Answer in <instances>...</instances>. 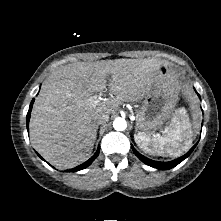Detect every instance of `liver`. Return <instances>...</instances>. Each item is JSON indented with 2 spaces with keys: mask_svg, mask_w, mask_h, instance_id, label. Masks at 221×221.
<instances>
[{
  "mask_svg": "<svg viewBox=\"0 0 221 221\" xmlns=\"http://www.w3.org/2000/svg\"><path fill=\"white\" fill-rule=\"evenodd\" d=\"M167 61L115 59L77 62L49 75L35 100L30 119L33 147L50 164L73 168L93 151L98 113L114 114L121 102L145 97L157 82L158 70ZM111 76L107 84L108 76ZM116 95L95 102L106 86Z\"/></svg>",
  "mask_w": 221,
  "mask_h": 221,
  "instance_id": "1",
  "label": "liver"
}]
</instances>
